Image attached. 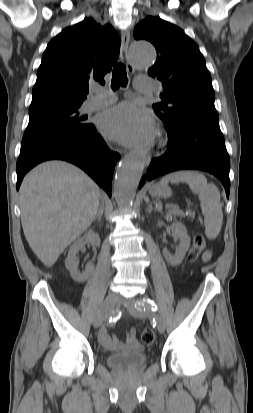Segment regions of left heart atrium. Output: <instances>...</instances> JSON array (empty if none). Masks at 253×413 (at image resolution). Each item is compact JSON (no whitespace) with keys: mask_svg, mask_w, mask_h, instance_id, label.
I'll return each mask as SVG.
<instances>
[{"mask_svg":"<svg viewBox=\"0 0 253 413\" xmlns=\"http://www.w3.org/2000/svg\"><path fill=\"white\" fill-rule=\"evenodd\" d=\"M98 127L104 135L125 145L148 142L155 130L152 115L130 103L105 111L99 117Z\"/></svg>","mask_w":253,"mask_h":413,"instance_id":"1","label":"left heart atrium"}]
</instances>
